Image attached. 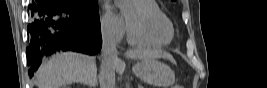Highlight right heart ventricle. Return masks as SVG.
<instances>
[{
  "label": "right heart ventricle",
  "instance_id": "obj_1",
  "mask_svg": "<svg viewBox=\"0 0 267 88\" xmlns=\"http://www.w3.org/2000/svg\"><path fill=\"white\" fill-rule=\"evenodd\" d=\"M135 2L143 5L145 8L149 9L152 12H156V13L160 14L163 17L165 23L171 22L169 20V18L166 16V14L161 10V8L159 7V5L157 4L156 1H154V0H135ZM128 39H129L130 43H132L134 45L162 46V45L167 44L166 42H159V41L142 39V38H139L137 36L131 35L130 33L128 35Z\"/></svg>",
  "mask_w": 267,
  "mask_h": 88
}]
</instances>
